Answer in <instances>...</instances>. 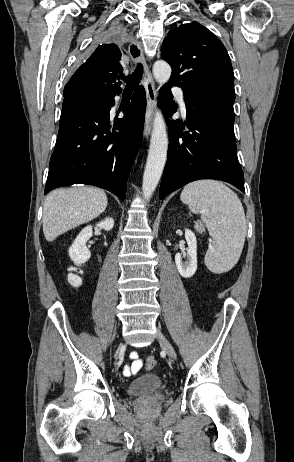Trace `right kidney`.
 Listing matches in <instances>:
<instances>
[{
	"instance_id": "1",
	"label": "right kidney",
	"mask_w": 294,
	"mask_h": 462,
	"mask_svg": "<svg viewBox=\"0 0 294 462\" xmlns=\"http://www.w3.org/2000/svg\"><path fill=\"white\" fill-rule=\"evenodd\" d=\"M97 227L110 231L114 226L113 218H106L99 222ZM92 237V226L85 227L74 240L69 248V256L76 264L87 262L91 257V252L86 247V242Z\"/></svg>"
}]
</instances>
